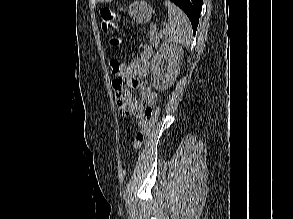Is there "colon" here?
<instances>
[{
	"instance_id": "colon-1",
	"label": "colon",
	"mask_w": 293,
	"mask_h": 219,
	"mask_svg": "<svg viewBox=\"0 0 293 219\" xmlns=\"http://www.w3.org/2000/svg\"><path fill=\"white\" fill-rule=\"evenodd\" d=\"M100 15L102 18V29L104 32H108L110 29L113 14L109 9L103 8L100 10ZM111 43L112 45L117 46L119 45V40L114 38L111 40ZM108 66H109L111 74L114 76V80H113L114 85L116 88H119L121 86L122 64L116 59H111L108 63ZM159 112H160L159 108L150 110L151 116H150L149 123L145 127H143L139 132H137V134L135 135V138H134L135 148H139L143 144V142L145 141V138L150 133L154 124L156 123L159 116Z\"/></svg>"
}]
</instances>
